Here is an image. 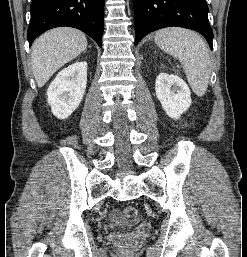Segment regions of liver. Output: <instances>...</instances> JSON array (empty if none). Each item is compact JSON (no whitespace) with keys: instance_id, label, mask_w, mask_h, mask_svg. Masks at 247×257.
Here are the masks:
<instances>
[{"instance_id":"6515ba94","label":"liver","mask_w":247,"mask_h":257,"mask_svg":"<svg viewBox=\"0 0 247 257\" xmlns=\"http://www.w3.org/2000/svg\"><path fill=\"white\" fill-rule=\"evenodd\" d=\"M87 48L84 33L70 27L51 29L39 36L32 46V70L38 87Z\"/></svg>"}]
</instances>
